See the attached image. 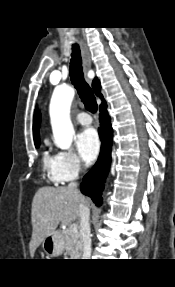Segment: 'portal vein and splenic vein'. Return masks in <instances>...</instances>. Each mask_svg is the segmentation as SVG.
<instances>
[{"mask_svg": "<svg viewBox=\"0 0 175 287\" xmlns=\"http://www.w3.org/2000/svg\"><path fill=\"white\" fill-rule=\"evenodd\" d=\"M69 230H70L71 232H74V233L77 232V225H76V224L70 225Z\"/></svg>", "mask_w": 175, "mask_h": 287, "instance_id": "18ae733b", "label": "portal vein and splenic vein"}]
</instances>
